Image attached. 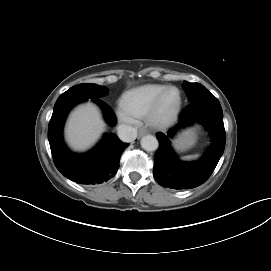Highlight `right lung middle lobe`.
Here are the masks:
<instances>
[{
    "mask_svg": "<svg viewBox=\"0 0 271 271\" xmlns=\"http://www.w3.org/2000/svg\"><path fill=\"white\" fill-rule=\"evenodd\" d=\"M108 94V88L93 83L78 84L60 95L57 101L65 99L87 100L101 98Z\"/></svg>",
    "mask_w": 271,
    "mask_h": 271,
    "instance_id": "obj_1",
    "label": "right lung middle lobe"
}]
</instances>
